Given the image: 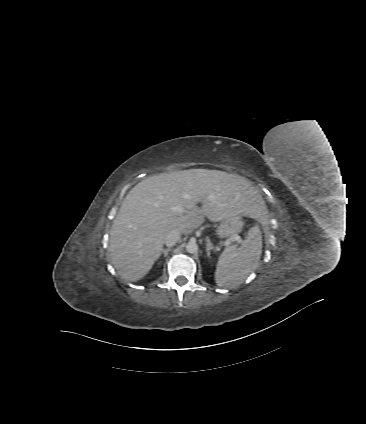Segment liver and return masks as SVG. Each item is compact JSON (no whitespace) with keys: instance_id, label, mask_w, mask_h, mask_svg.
<instances>
[{"instance_id":"obj_1","label":"liver","mask_w":366,"mask_h":424,"mask_svg":"<svg viewBox=\"0 0 366 424\" xmlns=\"http://www.w3.org/2000/svg\"><path fill=\"white\" fill-rule=\"evenodd\" d=\"M174 206L181 211L172 212ZM265 210L261 195L239 175L189 169L151 176L122 202L110 231L111 263L123 279L140 280L160 257L170 231L189 235L205 217L212 222L235 216L262 220Z\"/></svg>"}]
</instances>
